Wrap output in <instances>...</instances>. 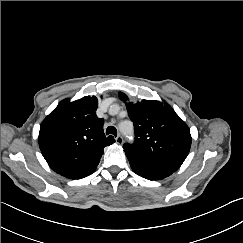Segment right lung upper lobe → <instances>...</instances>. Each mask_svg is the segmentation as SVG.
<instances>
[{
    "label": "right lung upper lobe",
    "mask_w": 243,
    "mask_h": 243,
    "mask_svg": "<svg viewBox=\"0 0 243 243\" xmlns=\"http://www.w3.org/2000/svg\"><path fill=\"white\" fill-rule=\"evenodd\" d=\"M96 97L74 102L65 99L40 125L39 147L50 168L70 179L95 171L104 147L115 142L103 132V119L96 116Z\"/></svg>",
    "instance_id": "1"
}]
</instances>
